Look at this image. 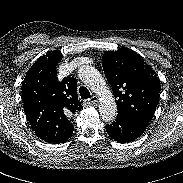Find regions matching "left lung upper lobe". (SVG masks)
I'll list each match as a JSON object with an SVG mask.
<instances>
[{"label":"left lung upper lobe","mask_w":183,"mask_h":183,"mask_svg":"<svg viewBox=\"0 0 183 183\" xmlns=\"http://www.w3.org/2000/svg\"><path fill=\"white\" fill-rule=\"evenodd\" d=\"M102 65L113 89L118 117L148 124L160 96V81L152 68L128 48L105 52Z\"/></svg>","instance_id":"obj_1"}]
</instances>
